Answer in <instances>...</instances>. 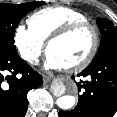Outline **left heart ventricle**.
Instances as JSON below:
<instances>
[{
    "label": "left heart ventricle",
    "instance_id": "1",
    "mask_svg": "<svg viewBox=\"0 0 117 117\" xmlns=\"http://www.w3.org/2000/svg\"><path fill=\"white\" fill-rule=\"evenodd\" d=\"M92 42L91 31L81 30L61 41L53 43L48 54L61 61L67 68L86 57Z\"/></svg>",
    "mask_w": 117,
    "mask_h": 117
}]
</instances>
